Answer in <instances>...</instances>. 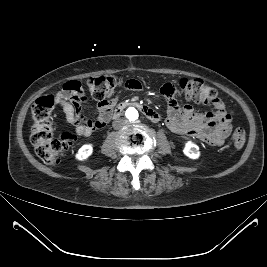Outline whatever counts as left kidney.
<instances>
[{
  "instance_id": "left-kidney-1",
  "label": "left kidney",
  "mask_w": 267,
  "mask_h": 267,
  "mask_svg": "<svg viewBox=\"0 0 267 267\" xmlns=\"http://www.w3.org/2000/svg\"><path fill=\"white\" fill-rule=\"evenodd\" d=\"M183 152L187 157L191 159H197L200 155L198 146L191 141L185 143Z\"/></svg>"
}]
</instances>
